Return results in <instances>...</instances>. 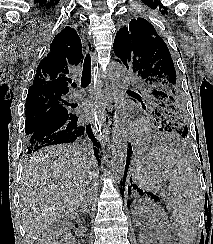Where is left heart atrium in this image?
<instances>
[{"instance_id":"obj_1","label":"left heart atrium","mask_w":213,"mask_h":244,"mask_svg":"<svg viewBox=\"0 0 213 244\" xmlns=\"http://www.w3.org/2000/svg\"><path fill=\"white\" fill-rule=\"evenodd\" d=\"M104 109L105 106L102 102L98 100L92 101L85 106V118L90 120H98Z\"/></svg>"}]
</instances>
